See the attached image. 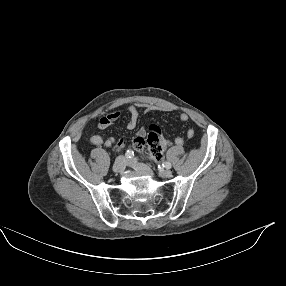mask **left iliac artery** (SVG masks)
<instances>
[{"instance_id": "44dca946", "label": "left iliac artery", "mask_w": 286, "mask_h": 286, "mask_svg": "<svg viewBox=\"0 0 286 286\" xmlns=\"http://www.w3.org/2000/svg\"><path fill=\"white\" fill-rule=\"evenodd\" d=\"M163 167H165L167 169H170L171 168V163L165 162V163H163Z\"/></svg>"}]
</instances>
